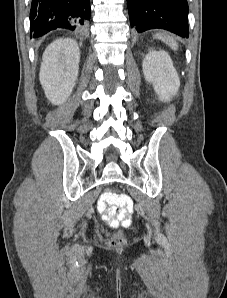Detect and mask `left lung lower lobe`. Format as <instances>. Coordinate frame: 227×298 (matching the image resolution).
Listing matches in <instances>:
<instances>
[{"label": "left lung lower lobe", "mask_w": 227, "mask_h": 298, "mask_svg": "<svg viewBox=\"0 0 227 298\" xmlns=\"http://www.w3.org/2000/svg\"><path fill=\"white\" fill-rule=\"evenodd\" d=\"M131 28L138 32L161 28L188 37L187 0H127Z\"/></svg>", "instance_id": "0a47b994"}]
</instances>
